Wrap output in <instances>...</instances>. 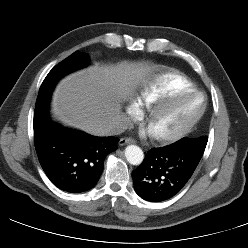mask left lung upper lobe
<instances>
[{
	"label": "left lung upper lobe",
	"mask_w": 248,
	"mask_h": 248,
	"mask_svg": "<svg viewBox=\"0 0 248 248\" xmlns=\"http://www.w3.org/2000/svg\"><path fill=\"white\" fill-rule=\"evenodd\" d=\"M207 141H208V138L204 136L200 138H195V139L184 137L180 139L179 141H177L176 143L186 144V145H190V146L205 150Z\"/></svg>",
	"instance_id": "obj_1"
}]
</instances>
